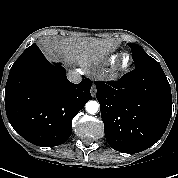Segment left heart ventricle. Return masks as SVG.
Returning <instances> with one entry per match:
<instances>
[{"instance_id": "1", "label": "left heart ventricle", "mask_w": 178, "mask_h": 178, "mask_svg": "<svg viewBox=\"0 0 178 178\" xmlns=\"http://www.w3.org/2000/svg\"><path fill=\"white\" fill-rule=\"evenodd\" d=\"M128 62H129V58L127 56H125L124 63H128Z\"/></svg>"}]
</instances>
